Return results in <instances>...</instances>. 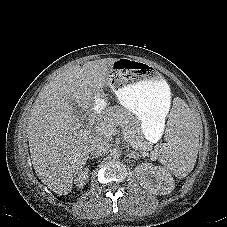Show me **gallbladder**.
<instances>
[{
	"instance_id": "gallbladder-1",
	"label": "gallbladder",
	"mask_w": 227,
	"mask_h": 227,
	"mask_svg": "<svg viewBox=\"0 0 227 227\" xmlns=\"http://www.w3.org/2000/svg\"><path fill=\"white\" fill-rule=\"evenodd\" d=\"M72 106L75 110V115L80 119V120H85L86 119V113L83 112L75 103H72Z\"/></svg>"
}]
</instances>
